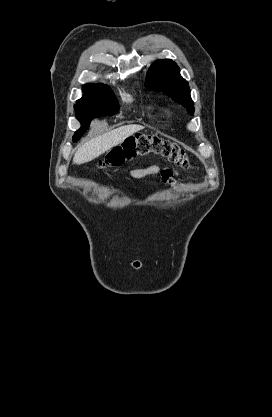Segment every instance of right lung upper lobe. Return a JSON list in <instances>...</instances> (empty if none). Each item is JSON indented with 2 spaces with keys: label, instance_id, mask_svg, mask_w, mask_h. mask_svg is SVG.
<instances>
[{
  "label": "right lung upper lobe",
  "instance_id": "cb5924a9",
  "mask_svg": "<svg viewBox=\"0 0 272 417\" xmlns=\"http://www.w3.org/2000/svg\"><path fill=\"white\" fill-rule=\"evenodd\" d=\"M83 97L77 100V103L84 101L91 95L96 94H113L109 87L100 84H86L83 86Z\"/></svg>",
  "mask_w": 272,
  "mask_h": 417
}]
</instances>
